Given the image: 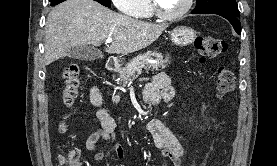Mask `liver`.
<instances>
[{
    "label": "liver",
    "mask_w": 277,
    "mask_h": 166,
    "mask_svg": "<svg viewBox=\"0 0 277 166\" xmlns=\"http://www.w3.org/2000/svg\"><path fill=\"white\" fill-rule=\"evenodd\" d=\"M168 27L148 23L112 11L94 0H66L48 14L44 39V63L64 58L72 47L113 42L108 53L127 55L156 41Z\"/></svg>",
    "instance_id": "1"
}]
</instances>
